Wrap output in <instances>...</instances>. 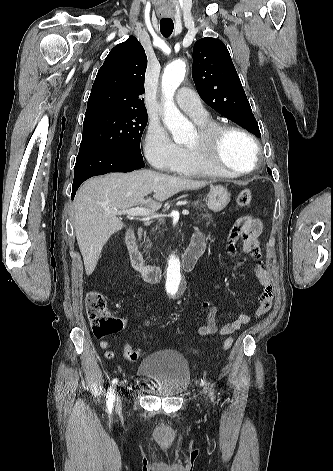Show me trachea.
Instances as JSON below:
<instances>
[{"label": "trachea", "mask_w": 333, "mask_h": 471, "mask_svg": "<svg viewBox=\"0 0 333 471\" xmlns=\"http://www.w3.org/2000/svg\"><path fill=\"white\" fill-rule=\"evenodd\" d=\"M174 29V23L171 19H162L160 21V31L164 37H169Z\"/></svg>", "instance_id": "1"}]
</instances>
